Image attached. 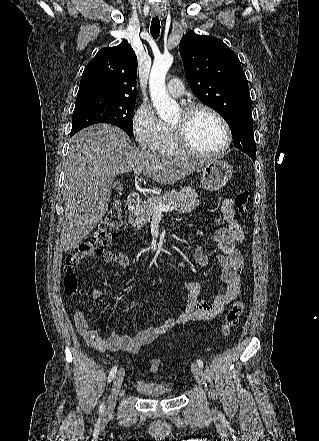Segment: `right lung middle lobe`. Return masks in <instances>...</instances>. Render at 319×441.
I'll use <instances>...</instances> for the list:
<instances>
[{
    "mask_svg": "<svg viewBox=\"0 0 319 441\" xmlns=\"http://www.w3.org/2000/svg\"><path fill=\"white\" fill-rule=\"evenodd\" d=\"M135 101L124 99L88 98L77 99L72 116L73 136L79 130L96 123H109L133 135L131 114Z\"/></svg>",
    "mask_w": 319,
    "mask_h": 441,
    "instance_id": "dd1d6c3e",
    "label": "right lung middle lobe"
}]
</instances>
